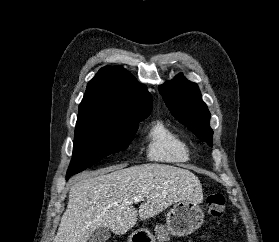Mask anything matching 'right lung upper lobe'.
Instances as JSON below:
<instances>
[{
  "instance_id": "1",
  "label": "right lung upper lobe",
  "mask_w": 279,
  "mask_h": 242,
  "mask_svg": "<svg viewBox=\"0 0 279 242\" xmlns=\"http://www.w3.org/2000/svg\"><path fill=\"white\" fill-rule=\"evenodd\" d=\"M153 99L143 84L121 66H105L89 81L78 117L135 123L149 116Z\"/></svg>"
}]
</instances>
